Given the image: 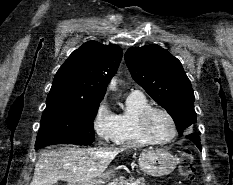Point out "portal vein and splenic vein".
Masks as SVG:
<instances>
[{"mask_svg": "<svg viewBox=\"0 0 233 185\" xmlns=\"http://www.w3.org/2000/svg\"><path fill=\"white\" fill-rule=\"evenodd\" d=\"M63 167L67 169V168L75 167V166H71V165L66 164V165H64Z\"/></svg>", "mask_w": 233, "mask_h": 185, "instance_id": "1", "label": "portal vein and splenic vein"}]
</instances>
